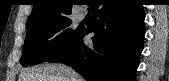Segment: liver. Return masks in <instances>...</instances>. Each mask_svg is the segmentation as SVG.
Segmentation results:
<instances>
[{"mask_svg":"<svg viewBox=\"0 0 169 81\" xmlns=\"http://www.w3.org/2000/svg\"><path fill=\"white\" fill-rule=\"evenodd\" d=\"M19 81H84L65 64L43 63L21 73Z\"/></svg>","mask_w":169,"mask_h":81,"instance_id":"obj_1","label":"liver"}]
</instances>
